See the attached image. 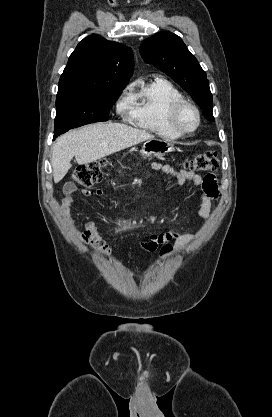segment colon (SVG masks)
Here are the masks:
<instances>
[{"mask_svg":"<svg viewBox=\"0 0 272 417\" xmlns=\"http://www.w3.org/2000/svg\"><path fill=\"white\" fill-rule=\"evenodd\" d=\"M107 167V160L79 165L71 174V182L81 186L90 187L102 180ZM184 167L191 172L212 173L219 167V161L216 152L209 151L185 161ZM172 251L173 244L167 242L162 246L160 255L163 258H168Z\"/></svg>","mask_w":272,"mask_h":417,"instance_id":"1","label":"colon"}]
</instances>
